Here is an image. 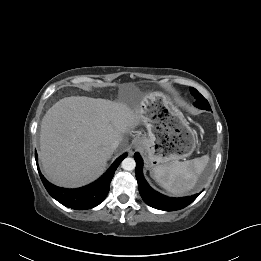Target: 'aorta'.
Here are the masks:
<instances>
[{
    "label": "aorta",
    "instance_id": "762f6f07",
    "mask_svg": "<svg viewBox=\"0 0 261 261\" xmlns=\"http://www.w3.org/2000/svg\"><path fill=\"white\" fill-rule=\"evenodd\" d=\"M136 162L133 158L127 157L125 158L122 163L121 167L126 171H132L135 169Z\"/></svg>",
    "mask_w": 261,
    "mask_h": 261
}]
</instances>
